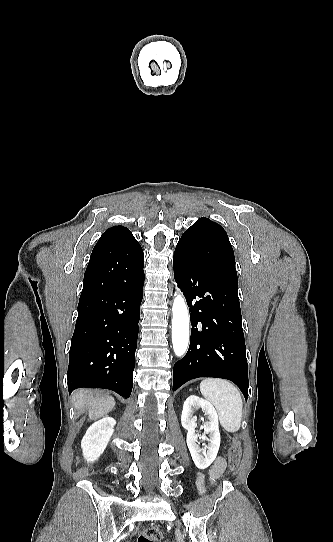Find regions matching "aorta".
Returning <instances> with one entry per match:
<instances>
[{
    "label": "aorta",
    "instance_id": "762f6f07",
    "mask_svg": "<svg viewBox=\"0 0 333 542\" xmlns=\"http://www.w3.org/2000/svg\"><path fill=\"white\" fill-rule=\"evenodd\" d=\"M172 346L175 356H185L189 346V312L186 302L179 294L172 306Z\"/></svg>",
    "mask_w": 333,
    "mask_h": 542
}]
</instances>
